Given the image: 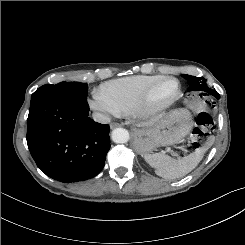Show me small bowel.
<instances>
[{
	"label": "small bowel",
	"mask_w": 245,
	"mask_h": 245,
	"mask_svg": "<svg viewBox=\"0 0 245 245\" xmlns=\"http://www.w3.org/2000/svg\"><path fill=\"white\" fill-rule=\"evenodd\" d=\"M188 108L197 113L208 114L216 108V101L210 97L193 96L188 99Z\"/></svg>",
	"instance_id": "obj_1"
}]
</instances>
